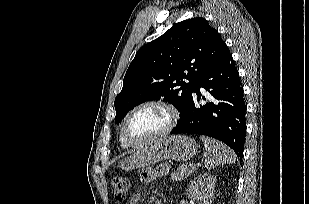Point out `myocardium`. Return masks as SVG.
<instances>
[{
    "label": "myocardium",
    "instance_id": "1",
    "mask_svg": "<svg viewBox=\"0 0 309 204\" xmlns=\"http://www.w3.org/2000/svg\"><path fill=\"white\" fill-rule=\"evenodd\" d=\"M159 107L164 109L167 114H168V122L166 124V126L158 133L142 139V140H134L131 139L128 135H127V123L129 118L138 110L145 108V107ZM179 120V112L178 110L170 103L163 101V100H148L145 102H142L138 105H136L134 108H132L125 116L123 122H122V126H121V136L124 139V141L131 146H141L147 143H150L152 141H155L157 139H160L166 135H168L169 133H171L174 128L176 127L177 123Z\"/></svg>",
    "mask_w": 309,
    "mask_h": 204
}]
</instances>
